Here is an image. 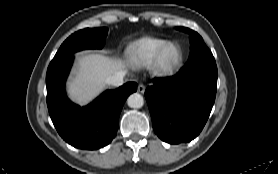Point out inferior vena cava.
<instances>
[{
	"label": "inferior vena cava",
	"instance_id": "inferior-vena-cava-1",
	"mask_svg": "<svg viewBox=\"0 0 278 174\" xmlns=\"http://www.w3.org/2000/svg\"><path fill=\"white\" fill-rule=\"evenodd\" d=\"M125 71H118L107 78L106 83L112 86H121L124 82Z\"/></svg>",
	"mask_w": 278,
	"mask_h": 174
}]
</instances>
